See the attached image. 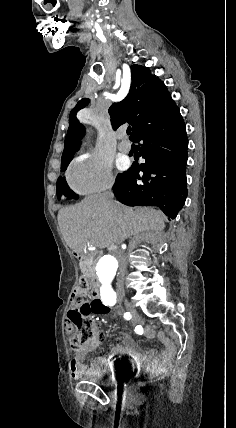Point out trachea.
I'll return each instance as SVG.
<instances>
[{"mask_svg":"<svg viewBox=\"0 0 236 428\" xmlns=\"http://www.w3.org/2000/svg\"><path fill=\"white\" fill-rule=\"evenodd\" d=\"M130 133H131V128H130V127H128V128H127V135H130Z\"/></svg>","mask_w":236,"mask_h":428,"instance_id":"1","label":"trachea"}]
</instances>
